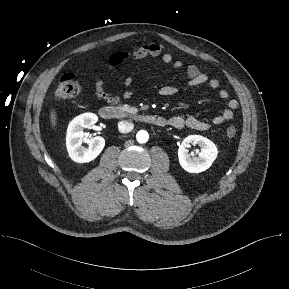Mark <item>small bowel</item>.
<instances>
[{
  "instance_id": "small-bowel-1",
  "label": "small bowel",
  "mask_w": 289,
  "mask_h": 289,
  "mask_svg": "<svg viewBox=\"0 0 289 289\" xmlns=\"http://www.w3.org/2000/svg\"><path fill=\"white\" fill-rule=\"evenodd\" d=\"M147 57H158L164 64H171L175 68H181L183 66L182 61L174 60L172 55L165 53L162 47L157 43L144 44L131 49H126L122 51H117L111 54L108 58L109 68H115L122 63L129 60H141ZM186 74L188 76L187 87H197L201 85H207L213 90H217L220 87V83L215 78H209V76L202 72L196 65L190 64L186 67ZM103 80L98 79L95 82V90L97 94L110 102H116L119 96L108 97L104 93ZM178 93V88L172 85H165L159 89V95L162 97H171ZM123 96L129 98L131 96L130 91H125ZM218 96L222 100L229 99V93L225 89L218 90ZM239 107V102L236 99H229L227 102V108L224 109L219 115L213 117L209 121L201 120L197 117L188 115L181 116L176 115L168 119V124L176 129L190 128L194 130H207L211 126L221 125L234 116V111Z\"/></svg>"
}]
</instances>
